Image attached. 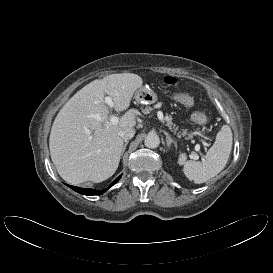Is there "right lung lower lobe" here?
<instances>
[{"mask_svg": "<svg viewBox=\"0 0 273 273\" xmlns=\"http://www.w3.org/2000/svg\"><path fill=\"white\" fill-rule=\"evenodd\" d=\"M121 178V176H119L117 179H115L113 181V183L105 190H101V191H97V190H93V189H84V188H80V187H75V186H70L68 185L71 189H73L74 191L80 193V194H84V195H101L102 193H104L106 190H108L111 186H113L115 183L118 182V180Z\"/></svg>", "mask_w": 273, "mask_h": 273, "instance_id": "98d812e1", "label": "right lung lower lobe"}]
</instances>
